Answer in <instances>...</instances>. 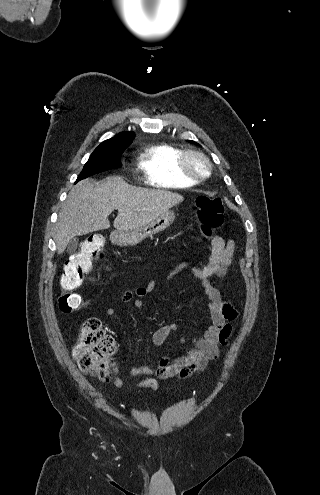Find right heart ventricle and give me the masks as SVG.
<instances>
[{
	"label": "right heart ventricle",
	"mask_w": 320,
	"mask_h": 495,
	"mask_svg": "<svg viewBox=\"0 0 320 495\" xmlns=\"http://www.w3.org/2000/svg\"><path fill=\"white\" fill-rule=\"evenodd\" d=\"M182 150L168 143L148 146L139 155L138 167L146 181L163 188H186L196 182L185 177L178 166Z\"/></svg>",
	"instance_id": "obj_1"
}]
</instances>
